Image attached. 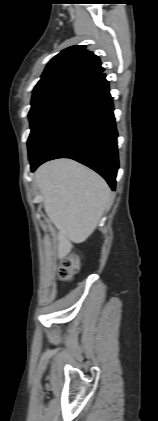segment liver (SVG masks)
Instances as JSON below:
<instances>
[{
  "instance_id": "obj_1",
  "label": "liver",
  "mask_w": 158,
  "mask_h": 421,
  "mask_svg": "<svg viewBox=\"0 0 158 421\" xmlns=\"http://www.w3.org/2000/svg\"><path fill=\"white\" fill-rule=\"evenodd\" d=\"M35 177L45 212L58 229V257L63 258L72 242L82 243L94 232L111 205V190L97 173L68 159L43 164Z\"/></svg>"
}]
</instances>
